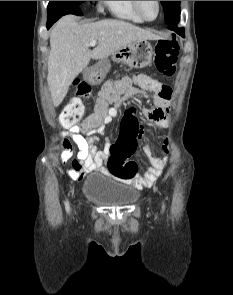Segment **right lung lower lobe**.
<instances>
[{
	"label": "right lung lower lobe",
	"instance_id": "1",
	"mask_svg": "<svg viewBox=\"0 0 233 295\" xmlns=\"http://www.w3.org/2000/svg\"><path fill=\"white\" fill-rule=\"evenodd\" d=\"M66 14L82 15L80 6H69L65 10L58 12H48L47 29H49L60 17Z\"/></svg>",
	"mask_w": 233,
	"mask_h": 295
}]
</instances>
